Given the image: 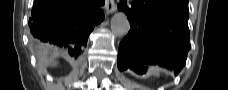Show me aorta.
<instances>
[{
	"label": "aorta",
	"mask_w": 228,
	"mask_h": 90,
	"mask_svg": "<svg viewBox=\"0 0 228 90\" xmlns=\"http://www.w3.org/2000/svg\"><path fill=\"white\" fill-rule=\"evenodd\" d=\"M129 22L122 12L116 13L111 19V30L118 37L126 35L129 31Z\"/></svg>",
	"instance_id": "762f6f07"
}]
</instances>
